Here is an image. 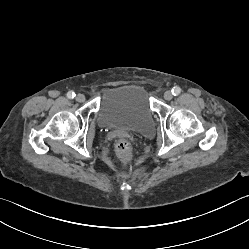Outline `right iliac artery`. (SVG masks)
<instances>
[{
    "mask_svg": "<svg viewBox=\"0 0 249 249\" xmlns=\"http://www.w3.org/2000/svg\"><path fill=\"white\" fill-rule=\"evenodd\" d=\"M75 96H76V94L73 91H69L67 93V97L70 98V99H73Z\"/></svg>",
    "mask_w": 249,
    "mask_h": 249,
    "instance_id": "obj_1",
    "label": "right iliac artery"
}]
</instances>
